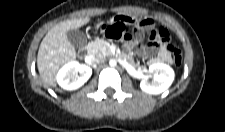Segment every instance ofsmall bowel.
<instances>
[{
	"mask_svg": "<svg viewBox=\"0 0 225 132\" xmlns=\"http://www.w3.org/2000/svg\"><path fill=\"white\" fill-rule=\"evenodd\" d=\"M121 27H127L134 30V37L136 40H140L142 38V30H148L150 33H155V37L152 38L151 42L144 46L141 44H134L129 42L126 44V51L128 59L133 63L134 60L132 58L133 52H137L140 55L146 56L149 58L150 64H156L160 62H171V55L166 47V43L162 40V38L158 34V30L155 29L152 20L144 19L138 21L134 18L128 16H122L119 20L114 23Z\"/></svg>",
	"mask_w": 225,
	"mask_h": 132,
	"instance_id": "small-bowel-1",
	"label": "small bowel"
}]
</instances>
